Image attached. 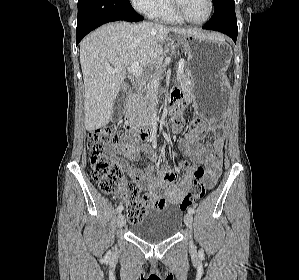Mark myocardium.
I'll return each instance as SVG.
<instances>
[{
  "label": "myocardium",
  "mask_w": 299,
  "mask_h": 280,
  "mask_svg": "<svg viewBox=\"0 0 299 280\" xmlns=\"http://www.w3.org/2000/svg\"><path fill=\"white\" fill-rule=\"evenodd\" d=\"M169 1H170V5H171V8L174 11V13L179 18H181L183 21L188 22L190 24H195V25L203 24L210 19V17L212 16V13H213V8H214L213 0H208L209 10H208L206 17L203 18L202 20H193V19L189 18L186 15V13L182 7V0H169Z\"/></svg>",
  "instance_id": "myocardium-1"
}]
</instances>
